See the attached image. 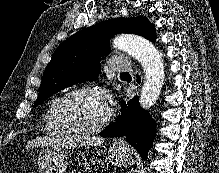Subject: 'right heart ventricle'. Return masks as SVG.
<instances>
[{
    "mask_svg": "<svg viewBox=\"0 0 219 173\" xmlns=\"http://www.w3.org/2000/svg\"><path fill=\"white\" fill-rule=\"evenodd\" d=\"M62 95L55 96L47 105L44 112V132L55 136H64L67 133L62 130L56 120V105Z\"/></svg>",
    "mask_w": 219,
    "mask_h": 173,
    "instance_id": "1",
    "label": "right heart ventricle"
}]
</instances>
